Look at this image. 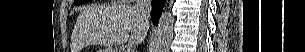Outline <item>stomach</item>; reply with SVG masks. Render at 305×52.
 Listing matches in <instances>:
<instances>
[{
	"label": "stomach",
	"mask_w": 305,
	"mask_h": 52,
	"mask_svg": "<svg viewBox=\"0 0 305 52\" xmlns=\"http://www.w3.org/2000/svg\"><path fill=\"white\" fill-rule=\"evenodd\" d=\"M98 52H113V51H110V50H108V49H104V50H100V51H98Z\"/></svg>",
	"instance_id": "obj_1"
}]
</instances>
